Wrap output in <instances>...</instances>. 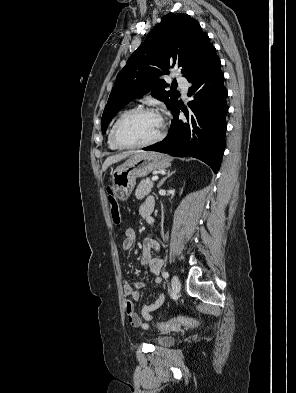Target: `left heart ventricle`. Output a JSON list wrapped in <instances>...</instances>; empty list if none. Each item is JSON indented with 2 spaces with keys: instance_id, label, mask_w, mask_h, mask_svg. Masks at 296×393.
Returning a JSON list of instances; mask_svg holds the SVG:
<instances>
[{
  "instance_id": "1",
  "label": "left heart ventricle",
  "mask_w": 296,
  "mask_h": 393,
  "mask_svg": "<svg viewBox=\"0 0 296 393\" xmlns=\"http://www.w3.org/2000/svg\"><path fill=\"white\" fill-rule=\"evenodd\" d=\"M162 119L155 113H141L130 117L120 128V139L127 144H138L153 139L160 131Z\"/></svg>"
}]
</instances>
